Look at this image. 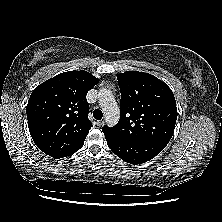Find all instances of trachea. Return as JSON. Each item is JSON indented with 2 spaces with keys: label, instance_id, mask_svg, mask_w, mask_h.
Here are the masks:
<instances>
[{
  "label": "trachea",
  "instance_id": "1",
  "mask_svg": "<svg viewBox=\"0 0 222 222\" xmlns=\"http://www.w3.org/2000/svg\"><path fill=\"white\" fill-rule=\"evenodd\" d=\"M93 116H94L95 119L100 120L103 117V113L100 109H95L93 111Z\"/></svg>",
  "mask_w": 222,
  "mask_h": 222
}]
</instances>
